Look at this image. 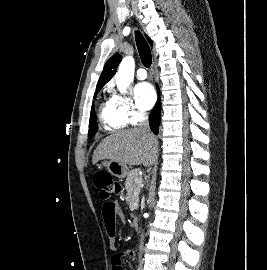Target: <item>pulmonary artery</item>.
<instances>
[{"label":"pulmonary artery","instance_id":"pulmonary-artery-1","mask_svg":"<svg viewBox=\"0 0 267 270\" xmlns=\"http://www.w3.org/2000/svg\"><path fill=\"white\" fill-rule=\"evenodd\" d=\"M136 76L139 80H144L147 78V72L144 68H139L137 71H136Z\"/></svg>","mask_w":267,"mask_h":270}]
</instances>
